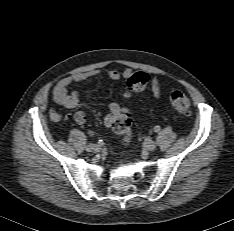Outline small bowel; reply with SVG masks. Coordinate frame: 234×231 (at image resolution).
Masks as SVG:
<instances>
[{"label":"small bowel","mask_w":234,"mask_h":231,"mask_svg":"<svg viewBox=\"0 0 234 231\" xmlns=\"http://www.w3.org/2000/svg\"><path fill=\"white\" fill-rule=\"evenodd\" d=\"M100 74V70L93 69L84 72H79L70 76H66L60 79L53 89V97L57 104L66 107L74 108L78 106L81 93L78 90H69L70 87L76 83L83 82L94 78ZM132 75L130 70H125L123 72L117 69H111L108 71V76L114 81H120L122 78H130ZM151 90L156 98H159L161 94L160 83L157 78H153L151 81ZM121 110L119 102H112L109 105V112L104 117V124L107 127H113L118 114ZM50 118L53 121H59L61 119V114L57 109H52L50 111ZM73 119L78 124H83L86 120L85 114L82 111H77L73 115Z\"/></svg>","instance_id":"c3829d8e"}]
</instances>
